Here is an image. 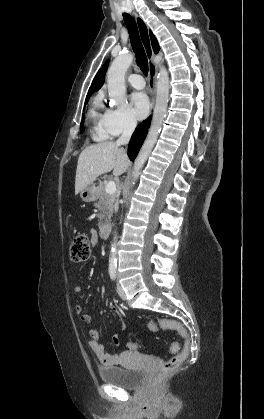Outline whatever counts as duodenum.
<instances>
[{"instance_id":"1","label":"duodenum","mask_w":264,"mask_h":419,"mask_svg":"<svg viewBox=\"0 0 264 419\" xmlns=\"http://www.w3.org/2000/svg\"><path fill=\"white\" fill-rule=\"evenodd\" d=\"M112 225L109 223H105L102 225L100 230V235L102 238L107 239L111 235Z\"/></svg>"}]
</instances>
